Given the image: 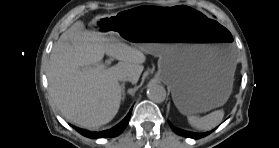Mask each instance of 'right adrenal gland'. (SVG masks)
<instances>
[{
    "label": "right adrenal gland",
    "mask_w": 279,
    "mask_h": 148,
    "mask_svg": "<svg viewBox=\"0 0 279 148\" xmlns=\"http://www.w3.org/2000/svg\"><path fill=\"white\" fill-rule=\"evenodd\" d=\"M121 87H122V101H124V99H125V84L122 83Z\"/></svg>",
    "instance_id": "2a0ac1e0"
}]
</instances>
